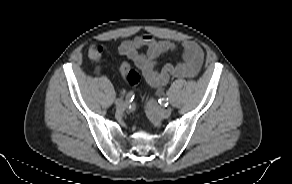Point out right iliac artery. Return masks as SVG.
I'll use <instances>...</instances> for the list:
<instances>
[{
	"mask_svg": "<svg viewBox=\"0 0 292 184\" xmlns=\"http://www.w3.org/2000/svg\"><path fill=\"white\" fill-rule=\"evenodd\" d=\"M134 98V94L133 92H129L127 95H126V99H124V101H127V102H131Z\"/></svg>",
	"mask_w": 292,
	"mask_h": 184,
	"instance_id": "82829eb1",
	"label": "right iliac artery"
}]
</instances>
